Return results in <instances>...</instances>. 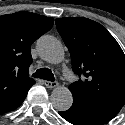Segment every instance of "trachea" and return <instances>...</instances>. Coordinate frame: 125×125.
Instances as JSON below:
<instances>
[{
	"instance_id": "obj_1",
	"label": "trachea",
	"mask_w": 125,
	"mask_h": 125,
	"mask_svg": "<svg viewBox=\"0 0 125 125\" xmlns=\"http://www.w3.org/2000/svg\"><path fill=\"white\" fill-rule=\"evenodd\" d=\"M34 78H40L47 81H55L52 71L48 68H40L32 75Z\"/></svg>"
}]
</instances>
